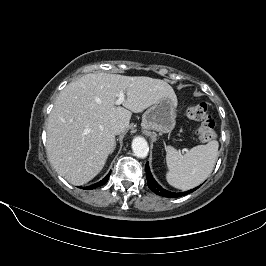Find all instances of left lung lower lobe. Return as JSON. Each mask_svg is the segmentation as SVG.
Returning a JSON list of instances; mask_svg holds the SVG:
<instances>
[{
    "mask_svg": "<svg viewBox=\"0 0 266 266\" xmlns=\"http://www.w3.org/2000/svg\"><path fill=\"white\" fill-rule=\"evenodd\" d=\"M145 169H146V176H147V182H148V186L149 188L157 195L159 196H163V197H168V198H177V197H181V196H185L189 193H192L193 191H195L196 189H198V187L194 188V189H191L187 192H179V193H176V192H171V191H168V190H165L163 189L156 181L155 179L153 178L151 172H150V168H149V165L148 163H146V166H145Z\"/></svg>",
    "mask_w": 266,
    "mask_h": 266,
    "instance_id": "1",
    "label": "left lung lower lobe"
}]
</instances>
